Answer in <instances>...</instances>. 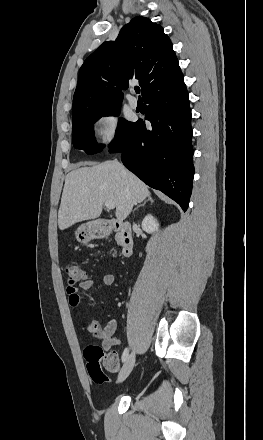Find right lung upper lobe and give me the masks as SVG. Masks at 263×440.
Segmentation results:
<instances>
[{"instance_id":"1","label":"right lung upper lobe","mask_w":263,"mask_h":440,"mask_svg":"<svg viewBox=\"0 0 263 440\" xmlns=\"http://www.w3.org/2000/svg\"><path fill=\"white\" fill-rule=\"evenodd\" d=\"M180 71L169 37L150 19L137 16L118 38L104 42L81 66L72 119L86 112L121 106L129 80L138 79L143 95Z\"/></svg>"}]
</instances>
